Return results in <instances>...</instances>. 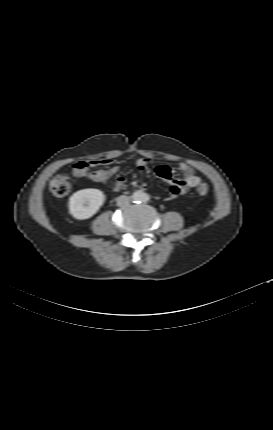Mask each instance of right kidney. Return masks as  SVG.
Wrapping results in <instances>:
<instances>
[{"label":"right kidney","mask_w":273,"mask_h":430,"mask_svg":"<svg viewBox=\"0 0 273 430\" xmlns=\"http://www.w3.org/2000/svg\"><path fill=\"white\" fill-rule=\"evenodd\" d=\"M105 201L102 191L94 188L82 189L69 198V212L78 220L92 217Z\"/></svg>","instance_id":"ca27d5eb"}]
</instances>
